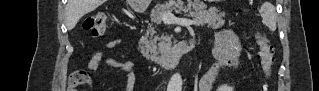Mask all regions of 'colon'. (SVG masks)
<instances>
[{
    "instance_id": "1",
    "label": "colon",
    "mask_w": 319,
    "mask_h": 91,
    "mask_svg": "<svg viewBox=\"0 0 319 91\" xmlns=\"http://www.w3.org/2000/svg\"><path fill=\"white\" fill-rule=\"evenodd\" d=\"M83 28L93 37L105 34L107 30V15L102 11L95 12L85 18ZM262 70L269 78L272 76L274 64V48L265 35L258 33Z\"/></svg>"
}]
</instances>
